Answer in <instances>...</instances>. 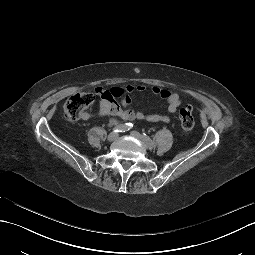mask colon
Segmentation results:
<instances>
[{"label":"colon","mask_w":255,"mask_h":255,"mask_svg":"<svg viewBox=\"0 0 255 255\" xmlns=\"http://www.w3.org/2000/svg\"><path fill=\"white\" fill-rule=\"evenodd\" d=\"M124 91L119 88L111 89L107 92L108 96L113 98L120 97ZM95 101V96L88 92H79L68 97L64 104V116L70 120H76L85 113V110L90 107ZM180 125L183 132H189L193 129L195 121L192 114V108L185 106L179 112Z\"/></svg>","instance_id":"5ec220e1"}]
</instances>
